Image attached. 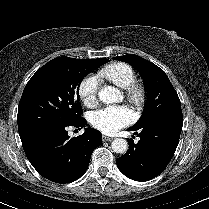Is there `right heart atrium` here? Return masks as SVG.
<instances>
[{
    "label": "right heart atrium",
    "instance_id": "right-heart-atrium-1",
    "mask_svg": "<svg viewBox=\"0 0 209 209\" xmlns=\"http://www.w3.org/2000/svg\"><path fill=\"white\" fill-rule=\"evenodd\" d=\"M99 79L95 75L86 76L79 84L78 93L85 106H92L97 99Z\"/></svg>",
    "mask_w": 209,
    "mask_h": 209
}]
</instances>
